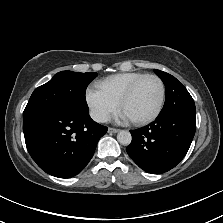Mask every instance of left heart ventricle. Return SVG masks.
Listing matches in <instances>:
<instances>
[{
  "instance_id": "1",
  "label": "left heart ventricle",
  "mask_w": 223,
  "mask_h": 223,
  "mask_svg": "<svg viewBox=\"0 0 223 223\" xmlns=\"http://www.w3.org/2000/svg\"><path fill=\"white\" fill-rule=\"evenodd\" d=\"M160 87L155 79L145 80L137 91L123 104L121 111L130 119H142L149 116L156 108Z\"/></svg>"
}]
</instances>
